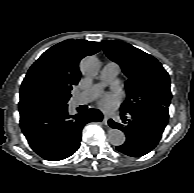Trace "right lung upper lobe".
<instances>
[{"label":"right lung upper lobe","instance_id":"right-lung-upper-lobe-1","mask_svg":"<svg viewBox=\"0 0 194 193\" xmlns=\"http://www.w3.org/2000/svg\"><path fill=\"white\" fill-rule=\"evenodd\" d=\"M99 50L100 43L82 39L65 40L48 49L27 72L20 89L19 105L30 103L48 91L70 93L80 80V60Z\"/></svg>","mask_w":194,"mask_h":193}]
</instances>
